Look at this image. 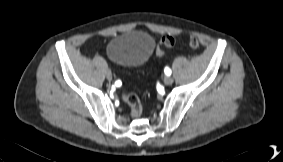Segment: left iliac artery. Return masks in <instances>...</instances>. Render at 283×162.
<instances>
[{"mask_svg": "<svg viewBox=\"0 0 283 162\" xmlns=\"http://www.w3.org/2000/svg\"><path fill=\"white\" fill-rule=\"evenodd\" d=\"M164 72H165V74L168 75V76L171 75V70H170L169 67H166V68L164 69Z\"/></svg>", "mask_w": 283, "mask_h": 162, "instance_id": "44dca946", "label": "left iliac artery"}]
</instances>
